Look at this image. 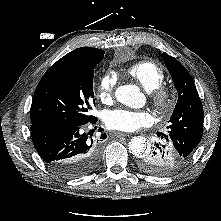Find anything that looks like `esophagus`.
<instances>
[{"mask_svg": "<svg viewBox=\"0 0 221 221\" xmlns=\"http://www.w3.org/2000/svg\"><path fill=\"white\" fill-rule=\"evenodd\" d=\"M113 135H114L115 137H117V138H120V137H129V136H131V134H129V133H123V132H115Z\"/></svg>", "mask_w": 221, "mask_h": 221, "instance_id": "1", "label": "esophagus"}]
</instances>
